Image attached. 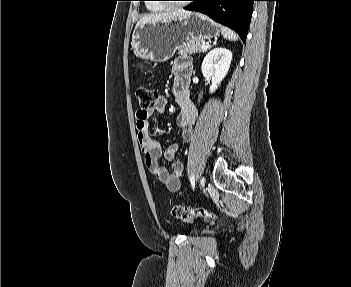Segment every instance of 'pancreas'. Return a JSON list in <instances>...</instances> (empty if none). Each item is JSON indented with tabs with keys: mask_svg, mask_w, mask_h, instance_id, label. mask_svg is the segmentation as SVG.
Listing matches in <instances>:
<instances>
[{
	"mask_svg": "<svg viewBox=\"0 0 351 287\" xmlns=\"http://www.w3.org/2000/svg\"><path fill=\"white\" fill-rule=\"evenodd\" d=\"M205 43L202 40H193L187 43H184L182 45H180L177 50H178V54L180 57H185L187 55L193 54V53H197V52H202V44Z\"/></svg>",
	"mask_w": 351,
	"mask_h": 287,
	"instance_id": "obj_1",
	"label": "pancreas"
}]
</instances>
